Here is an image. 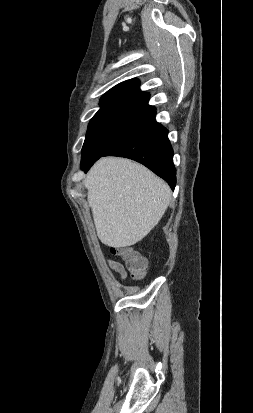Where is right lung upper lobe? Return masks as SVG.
I'll return each mask as SVG.
<instances>
[{
  "mask_svg": "<svg viewBox=\"0 0 253 413\" xmlns=\"http://www.w3.org/2000/svg\"><path fill=\"white\" fill-rule=\"evenodd\" d=\"M138 79L124 81L108 92L101 100L100 110L94 115L124 114L151 118L156 109L148 105L149 93L142 92L139 88Z\"/></svg>",
  "mask_w": 253,
  "mask_h": 413,
  "instance_id": "1",
  "label": "right lung upper lobe"
}]
</instances>
